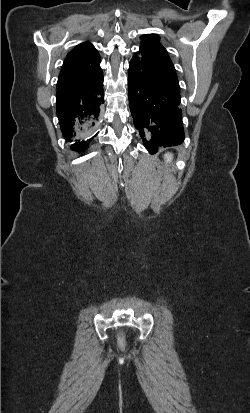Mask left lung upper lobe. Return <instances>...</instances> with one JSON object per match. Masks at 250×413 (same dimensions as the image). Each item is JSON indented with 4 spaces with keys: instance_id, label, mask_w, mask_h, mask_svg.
<instances>
[{
    "instance_id": "obj_1",
    "label": "left lung upper lobe",
    "mask_w": 250,
    "mask_h": 413,
    "mask_svg": "<svg viewBox=\"0 0 250 413\" xmlns=\"http://www.w3.org/2000/svg\"><path fill=\"white\" fill-rule=\"evenodd\" d=\"M146 36H154V37H158L157 35H152V34H151V35H145V36H142L141 38H142V39H144Z\"/></svg>"
}]
</instances>
